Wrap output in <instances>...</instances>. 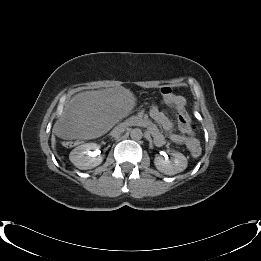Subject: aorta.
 Returning <instances> with one entry per match:
<instances>
[{
  "mask_svg": "<svg viewBox=\"0 0 261 261\" xmlns=\"http://www.w3.org/2000/svg\"><path fill=\"white\" fill-rule=\"evenodd\" d=\"M142 136H143V133H142L141 129H139V128H134L130 132V137L133 140H140L142 138Z\"/></svg>",
  "mask_w": 261,
  "mask_h": 261,
  "instance_id": "aorta-1",
  "label": "aorta"
}]
</instances>
